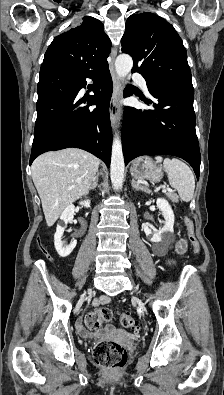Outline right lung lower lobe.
I'll return each mask as SVG.
<instances>
[{"label": "right lung lower lobe", "mask_w": 224, "mask_h": 395, "mask_svg": "<svg viewBox=\"0 0 224 395\" xmlns=\"http://www.w3.org/2000/svg\"><path fill=\"white\" fill-rule=\"evenodd\" d=\"M86 78L99 80V84L93 96L80 98L78 93L86 86ZM112 91L108 66L96 72L80 73L58 64L43 63L37 88V119L30 164L44 152L75 147L94 154L109 167ZM86 102V106H81ZM91 105L96 108H89Z\"/></svg>", "instance_id": "98d812e1"}]
</instances>
